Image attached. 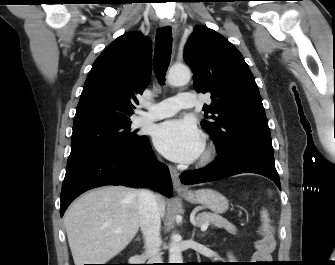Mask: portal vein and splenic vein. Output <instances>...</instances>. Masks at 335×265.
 <instances>
[{
	"label": "portal vein and splenic vein",
	"instance_id": "1",
	"mask_svg": "<svg viewBox=\"0 0 335 265\" xmlns=\"http://www.w3.org/2000/svg\"><path fill=\"white\" fill-rule=\"evenodd\" d=\"M208 225H209L208 222L203 223V224L201 225V230H202V231H205V230L208 228Z\"/></svg>",
	"mask_w": 335,
	"mask_h": 265
}]
</instances>
